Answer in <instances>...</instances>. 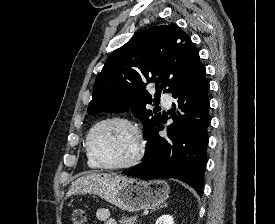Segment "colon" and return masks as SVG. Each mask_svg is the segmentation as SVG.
<instances>
[{
  "label": "colon",
  "mask_w": 275,
  "mask_h": 224,
  "mask_svg": "<svg viewBox=\"0 0 275 224\" xmlns=\"http://www.w3.org/2000/svg\"><path fill=\"white\" fill-rule=\"evenodd\" d=\"M73 224H87L88 215L83 209H76L72 214Z\"/></svg>",
  "instance_id": "1"
}]
</instances>
